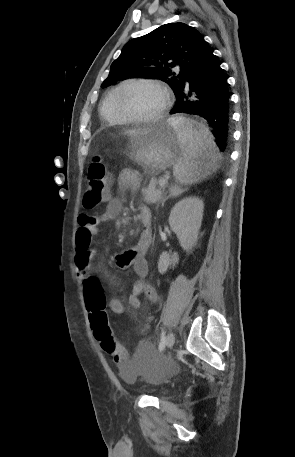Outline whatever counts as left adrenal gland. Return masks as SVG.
I'll list each match as a JSON object with an SVG mask.
<instances>
[{"instance_id": "left-adrenal-gland-1", "label": "left adrenal gland", "mask_w": 295, "mask_h": 457, "mask_svg": "<svg viewBox=\"0 0 295 457\" xmlns=\"http://www.w3.org/2000/svg\"><path fill=\"white\" fill-rule=\"evenodd\" d=\"M182 192H183V191H181L180 193H177V192L171 190V194L163 200L162 206H164V203H165V201H166L167 199H169L170 197H173V196H177V195L181 194ZM157 209H158V206H157Z\"/></svg>"}]
</instances>
